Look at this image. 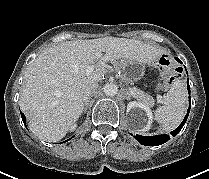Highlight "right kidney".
<instances>
[{
  "instance_id": "obj_1",
  "label": "right kidney",
  "mask_w": 209,
  "mask_h": 179,
  "mask_svg": "<svg viewBox=\"0 0 209 179\" xmlns=\"http://www.w3.org/2000/svg\"><path fill=\"white\" fill-rule=\"evenodd\" d=\"M75 127H76V125L74 124V125H72L71 127H70V130L71 131H73L74 129H75Z\"/></svg>"
}]
</instances>
